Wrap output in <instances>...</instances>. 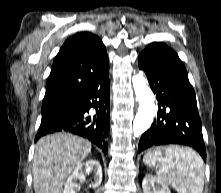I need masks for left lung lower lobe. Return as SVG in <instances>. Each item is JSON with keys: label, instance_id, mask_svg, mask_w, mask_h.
<instances>
[{"label": "left lung lower lobe", "instance_id": "obj_1", "mask_svg": "<svg viewBox=\"0 0 221 193\" xmlns=\"http://www.w3.org/2000/svg\"><path fill=\"white\" fill-rule=\"evenodd\" d=\"M139 68L145 72L159 107L157 119L140 139L138 152L178 144L194 148L206 160L195 92L176 52L164 43H152L139 55Z\"/></svg>", "mask_w": 221, "mask_h": 193}]
</instances>
